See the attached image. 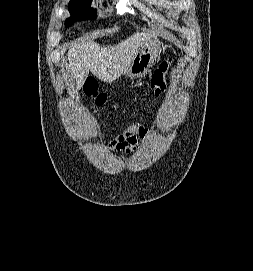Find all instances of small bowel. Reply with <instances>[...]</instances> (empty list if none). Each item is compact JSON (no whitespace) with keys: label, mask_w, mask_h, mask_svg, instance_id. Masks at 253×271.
I'll return each mask as SVG.
<instances>
[{"label":"small bowel","mask_w":253,"mask_h":271,"mask_svg":"<svg viewBox=\"0 0 253 271\" xmlns=\"http://www.w3.org/2000/svg\"><path fill=\"white\" fill-rule=\"evenodd\" d=\"M152 133L140 124L128 125L111 143L110 148L114 153L131 155L138 151L139 139H150Z\"/></svg>","instance_id":"obj_1"}]
</instances>
